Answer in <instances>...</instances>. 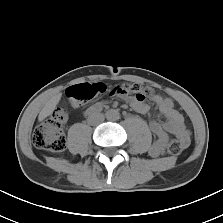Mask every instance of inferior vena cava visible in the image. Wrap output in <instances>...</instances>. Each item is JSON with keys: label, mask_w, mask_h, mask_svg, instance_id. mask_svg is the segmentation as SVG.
Instances as JSON below:
<instances>
[{"label": "inferior vena cava", "mask_w": 223, "mask_h": 223, "mask_svg": "<svg viewBox=\"0 0 223 223\" xmlns=\"http://www.w3.org/2000/svg\"><path fill=\"white\" fill-rule=\"evenodd\" d=\"M96 120V123L104 121V116L101 113H95L91 116L90 121Z\"/></svg>", "instance_id": "inferior-vena-cava-1"}]
</instances>
